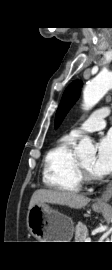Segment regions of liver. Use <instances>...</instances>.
Segmentation results:
<instances>
[{
	"mask_svg": "<svg viewBox=\"0 0 112 270\" xmlns=\"http://www.w3.org/2000/svg\"><path fill=\"white\" fill-rule=\"evenodd\" d=\"M90 202V198L67 191H57L48 189L36 190L30 200L29 209L38 203H51L68 206L74 209H81Z\"/></svg>",
	"mask_w": 112,
	"mask_h": 270,
	"instance_id": "1",
	"label": "liver"
}]
</instances>
